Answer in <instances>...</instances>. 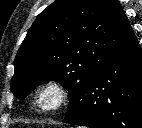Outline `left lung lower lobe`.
<instances>
[{
    "instance_id": "0a47b994",
    "label": "left lung lower lobe",
    "mask_w": 142,
    "mask_h": 128,
    "mask_svg": "<svg viewBox=\"0 0 142 128\" xmlns=\"http://www.w3.org/2000/svg\"><path fill=\"white\" fill-rule=\"evenodd\" d=\"M64 123L89 128H142V49L134 35L86 83Z\"/></svg>"
}]
</instances>
